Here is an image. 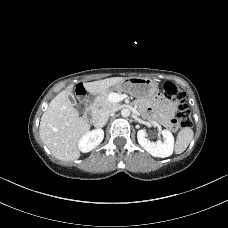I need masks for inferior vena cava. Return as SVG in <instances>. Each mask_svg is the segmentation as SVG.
<instances>
[{"label": "inferior vena cava", "instance_id": "inferior-vena-cava-1", "mask_svg": "<svg viewBox=\"0 0 228 228\" xmlns=\"http://www.w3.org/2000/svg\"><path fill=\"white\" fill-rule=\"evenodd\" d=\"M111 112H100L93 117V125L95 127H103L110 116Z\"/></svg>", "mask_w": 228, "mask_h": 228}]
</instances>
